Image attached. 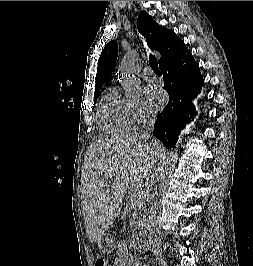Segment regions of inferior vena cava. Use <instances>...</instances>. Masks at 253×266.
Masks as SVG:
<instances>
[{
  "label": "inferior vena cava",
  "instance_id": "602c4592",
  "mask_svg": "<svg viewBox=\"0 0 253 266\" xmlns=\"http://www.w3.org/2000/svg\"><path fill=\"white\" fill-rule=\"evenodd\" d=\"M155 123V116L154 115H146L143 118V126H142V130H141V135L142 137L148 141L151 142L153 140L152 137V130H153V126ZM147 190L146 192L143 194V199L147 201V206L145 207L144 210V227L148 233V238L150 240V244H152L153 247V252L154 254L158 257L161 256V252H160V243L158 240V229L156 227V210L153 207L152 203H151V199L153 197L152 194V181L148 176L146 177V181H145Z\"/></svg>",
  "mask_w": 253,
  "mask_h": 266
}]
</instances>
